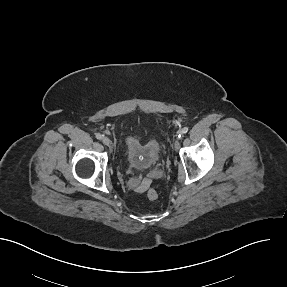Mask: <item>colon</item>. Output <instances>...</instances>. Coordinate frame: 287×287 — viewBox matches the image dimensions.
I'll list each match as a JSON object with an SVG mask.
<instances>
[{
	"instance_id": "5ec220e1",
	"label": "colon",
	"mask_w": 287,
	"mask_h": 287,
	"mask_svg": "<svg viewBox=\"0 0 287 287\" xmlns=\"http://www.w3.org/2000/svg\"><path fill=\"white\" fill-rule=\"evenodd\" d=\"M146 196L149 200L154 201L158 198V192L155 189L150 188L147 190Z\"/></svg>"
}]
</instances>
